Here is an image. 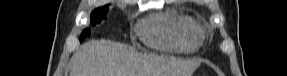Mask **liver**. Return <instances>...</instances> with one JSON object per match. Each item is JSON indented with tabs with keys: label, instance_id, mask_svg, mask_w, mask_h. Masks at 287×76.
Here are the masks:
<instances>
[{
	"label": "liver",
	"instance_id": "1",
	"mask_svg": "<svg viewBox=\"0 0 287 76\" xmlns=\"http://www.w3.org/2000/svg\"><path fill=\"white\" fill-rule=\"evenodd\" d=\"M199 63L142 55L106 39L91 40L74 53L70 76H191Z\"/></svg>",
	"mask_w": 287,
	"mask_h": 76
}]
</instances>
